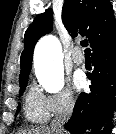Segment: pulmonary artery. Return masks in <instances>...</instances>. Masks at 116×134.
<instances>
[{"mask_svg": "<svg viewBox=\"0 0 116 134\" xmlns=\"http://www.w3.org/2000/svg\"><path fill=\"white\" fill-rule=\"evenodd\" d=\"M72 60L74 63L80 65L83 64L85 61L84 56L79 52V49L76 48L75 51L72 53Z\"/></svg>", "mask_w": 116, "mask_h": 134, "instance_id": "e3ab8cb5", "label": "pulmonary artery"}]
</instances>
